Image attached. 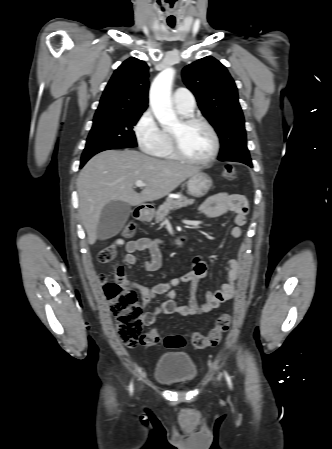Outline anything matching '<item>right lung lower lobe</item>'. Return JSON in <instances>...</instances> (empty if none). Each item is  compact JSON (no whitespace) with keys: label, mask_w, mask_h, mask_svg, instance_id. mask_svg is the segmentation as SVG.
<instances>
[{"label":"right lung lower lobe","mask_w":332,"mask_h":449,"mask_svg":"<svg viewBox=\"0 0 332 449\" xmlns=\"http://www.w3.org/2000/svg\"><path fill=\"white\" fill-rule=\"evenodd\" d=\"M92 156L84 157L81 160L80 167H82Z\"/></svg>","instance_id":"right-lung-lower-lobe-1"}]
</instances>
